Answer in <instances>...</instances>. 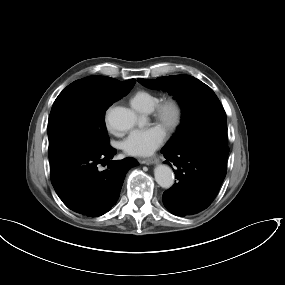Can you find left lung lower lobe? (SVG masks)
<instances>
[{
  "instance_id": "obj_1",
  "label": "left lung lower lobe",
  "mask_w": 285,
  "mask_h": 285,
  "mask_svg": "<svg viewBox=\"0 0 285 285\" xmlns=\"http://www.w3.org/2000/svg\"><path fill=\"white\" fill-rule=\"evenodd\" d=\"M165 163L178 182L163 193L165 207L185 217L207 208L215 199L226 176L229 148L217 143H200L176 151L162 149Z\"/></svg>"
}]
</instances>
